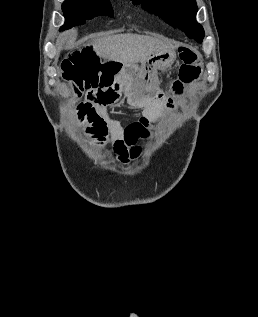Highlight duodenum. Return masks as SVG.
Here are the masks:
<instances>
[{"mask_svg":"<svg viewBox=\"0 0 258 317\" xmlns=\"http://www.w3.org/2000/svg\"><path fill=\"white\" fill-rule=\"evenodd\" d=\"M134 69L132 67H123L108 82L97 88H92L86 95V100L98 108L112 105L118 102L124 92L133 86Z\"/></svg>","mask_w":258,"mask_h":317,"instance_id":"1","label":"duodenum"}]
</instances>
